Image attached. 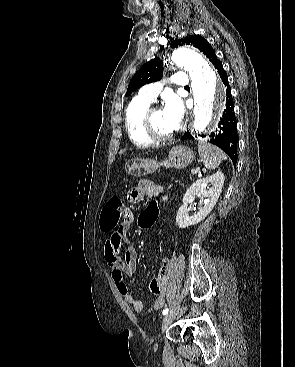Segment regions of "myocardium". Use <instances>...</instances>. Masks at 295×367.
Masks as SVG:
<instances>
[{
    "label": "myocardium",
    "instance_id": "f54148a6",
    "mask_svg": "<svg viewBox=\"0 0 295 367\" xmlns=\"http://www.w3.org/2000/svg\"><path fill=\"white\" fill-rule=\"evenodd\" d=\"M159 109V106L150 105L145 111L142 121L144 133L149 139L156 143L169 141L175 136L174 132L171 134H161L155 129L153 125V115Z\"/></svg>",
    "mask_w": 295,
    "mask_h": 367
}]
</instances>
